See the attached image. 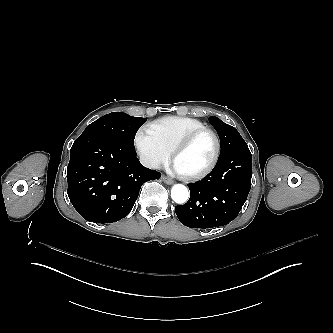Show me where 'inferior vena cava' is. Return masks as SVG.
<instances>
[{
    "instance_id": "602c4592",
    "label": "inferior vena cava",
    "mask_w": 333,
    "mask_h": 333,
    "mask_svg": "<svg viewBox=\"0 0 333 333\" xmlns=\"http://www.w3.org/2000/svg\"><path fill=\"white\" fill-rule=\"evenodd\" d=\"M143 164L149 168H153V169H158L160 167L159 163L157 162H149V161H145V159L143 158L142 160Z\"/></svg>"
}]
</instances>
